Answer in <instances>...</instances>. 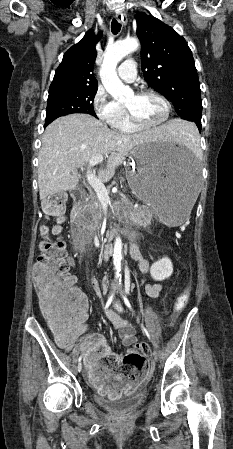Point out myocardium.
<instances>
[{
	"label": "myocardium",
	"mask_w": 233,
	"mask_h": 449,
	"mask_svg": "<svg viewBox=\"0 0 233 449\" xmlns=\"http://www.w3.org/2000/svg\"><path fill=\"white\" fill-rule=\"evenodd\" d=\"M136 96H146V95H151L154 96L156 98H158L165 107V111H164V115L163 117L155 123H145L142 122L140 119H138V117L134 114V112L126 105H124V109L128 115V118L130 119V121L138 128L140 129H154L157 128L161 125H163L164 123H166V121L168 120L169 116H170V112H171V105L170 102L159 92H156L154 90H150V89H146V90H141L135 93Z\"/></svg>",
	"instance_id": "myocardium-1"
}]
</instances>
